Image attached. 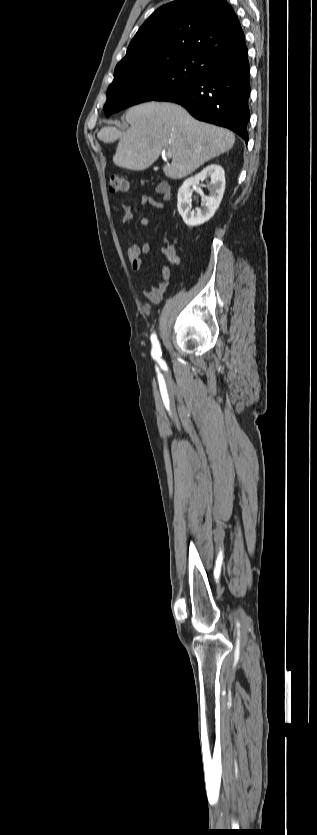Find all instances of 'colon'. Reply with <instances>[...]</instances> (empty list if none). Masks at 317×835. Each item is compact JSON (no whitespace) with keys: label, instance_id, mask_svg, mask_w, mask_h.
Segmentation results:
<instances>
[{"label":"colon","instance_id":"colon-1","mask_svg":"<svg viewBox=\"0 0 317 835\" xmlns=\"http://www.w3.org/2000/svg\"><path fill=\"white\" fill-rule=\"evenodd\" d=\"M109 189L112 193H125L129 191V181L122 175L115 174L111 176Z\"/></svg>","mask_w":317,"mask_h":835}]
</instances>
